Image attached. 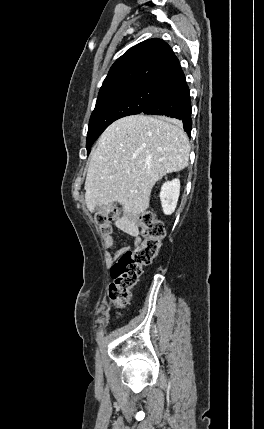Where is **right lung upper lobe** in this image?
<instances>
[{"label": "right lung upper lobe", "mask_w": 264, "mask_h": 429, "mask_svg": "<svg viewBox=\"0 0 264 429\" xmlns=\"http://www.w3.org/2000/svg\"><path fill=\"white\" fill-rule=\"evenodd\" d=\"M180 68L170 46L154 38L130 48L112 65L99 95L134 85L160 86Z\"/></svg>", "instance_id": "obj_1"}]
</instances>
